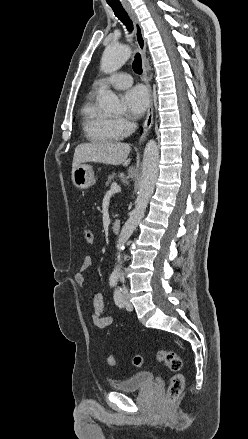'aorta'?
Wrapping results in <instances>:
<instances>
[{
  "label": "aorta",
  "instance_id": "1",
  "mask_svg": "<svg viewBox=\"0 0 248 439\" xmlns=\"http://www.w3.org/2000/svg\"><path fill=\"white\" fill-rule=\"evenodd\" d=\"M131 56V49L126 45H109L105 48L101 58V71L112 73L120 69ZM99 106L105 113H117L122 109L118 96L110 90H102L99 97ZM159 149L156 141L150 140L145 147L142 165L140 187L137 194L135 208L131 211L128 220L123 225L119 234L116 248L118 259L120 252L133 234L138 224L145 215L149 200L154 192L158 177ZM116 265L114 273H118Z\"/></svg>",
  "mask_w": 248,
  "mask_h": 439
}]
</instances>
